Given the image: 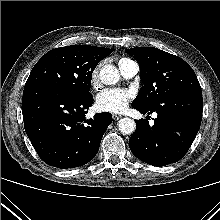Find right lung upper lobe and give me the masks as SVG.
Segmentation results:
<instances>
[{
	"instance_id": "1",
	"label": "right lung upper lobe",
	"mask_w": 220,
	"mask_h": 220,
	"mask_svg": "<svg viewBox=\"0 0 220 220\" xmlns=\"http://www.w3.org/2000/svg\"><path fill=\"white\" fill-rule=\"evenodd\" d=\"M79 46L82 47L84 50L89 51L93 55L99 57L101 60L113 52V50L108 48H102L96 46H83V45H79Z\"/></svg>"
}]
</instances>
